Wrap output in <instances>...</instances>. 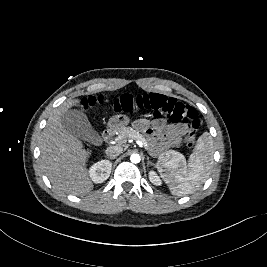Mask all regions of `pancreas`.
Listing matches in <instances>:
<instances>
[{"label":"pancreas","mask_w":267,"mask_h":267,"mask_svg":"<svg viewBox=\"0 0 267 267\" xmlns=\"http://www.w3.org/2000/svg\"><path fill=\"white\" fill-rule=\"evenodd\" d=\"M119 136L123 137L125 140L127 139H135V140H145L144 136L140 134L138 131L134 130L131 127H123L122 129L118 130ZM176 151L169 150L163 152L158 155L160 159H171L175 156Z\"/></svg>","instance_id":"1"}]
</instances>
